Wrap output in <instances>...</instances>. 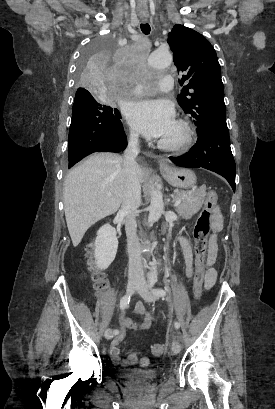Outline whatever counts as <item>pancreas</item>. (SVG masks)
Listing matches in <instances>:
<instances>
[{
  "instance_id": "cf45deb5",
  "label": "pancreas",
  "mask_w": 275,
  "mask_h": 409,
  "mask_svg": "<svg viewBox=\"0 0 275 409\" xmlns=\"http://www.w3.org/2000/svg\"><path fill=\"white\" fill-rule=\"evenodd\" d=\"M206 196V188H200V190H194V192H189V190H177L174 200L180 198L181 202L176 211L179 217L182 219H191L192 215L200 211Z\"/></svg>"
}]
</instances>
